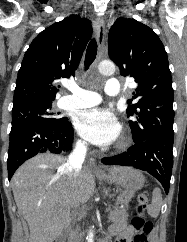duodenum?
Masks as SVG:
<instances>
[{
    "label": "duodenum",
    "mask_w": 187,
    "mask_h": 242,
    "mask_svg": "<svg viewBox=\"0 0 187 242\" xmlns=\"http://www.w3.org/2000/svg\"><path fill=\"white\" fill-rule=\"evenodd\" d=\"M100 242H109V237L108 236L104 237Z\"/></svg>",
    "instance_id": "1"
}]
</instances>
